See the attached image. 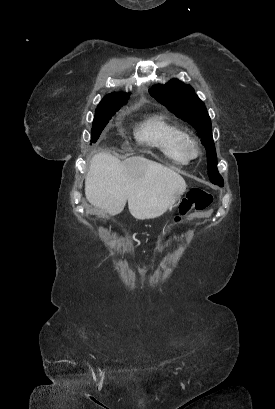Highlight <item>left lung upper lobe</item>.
<instances>
[{"label": "left lung upper lobe", "mask_w": 275, "mask_h": 409, "mask_svg": "<svg viewBox=\"0 0 275 409\" xmlns=\"http://www.w3.org/2000/svg\"><path fill=\"white\" fill-rule=\"evenodd\" d=\"M149 92L158 102L166 106L177 117L195 127L207 151L208 176L210 181L222 187L224 184L217 169L211 120L204 103L195 94L194 89L190 85H186L177 79H172L165 85H155L151 87Z\"/></svg>", "instance_id": "5c2ea615"}]
</instances>
